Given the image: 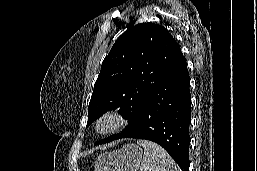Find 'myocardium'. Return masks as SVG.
<instances>
[{
  "label": "myocardium",
  "mask_w": 257,
  "mask_h": 171,
  "mask_svg": "<svg viewBox=\"0 0 257 171\" xmlns=\"http://www.w3.org/2000/svg\"><path fill=\"white\" fill-rule=\"evenodd\" d=\"M127 123L124 113L117 109H110L98 116L94 122V130L97 134L111 135L121 130Z\"/></svg>",
  "instance_id": "obj_1"
}]
</instances>
